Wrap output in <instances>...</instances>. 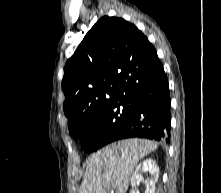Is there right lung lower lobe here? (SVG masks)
Returning a JSON list of instances; mask_svg holds the SVG:
<instances>
[{"label":"right lung lower lobe","instance_id":"1","mask_svg":"<svg viewBox=\"0 0 221 193\" xmlns=\"http://www.w3.org/2000/svg\"><path fill=\"white\" fill-rule=\"evenodd\" d=\"M134 111L129 122L111 141L140 137L170 141L171 113L168 80L162 64L140 86L133 97ZM109 142V143H110Z\"/></svg>","mask_w":221,"mask_h":193}]
</instances>
